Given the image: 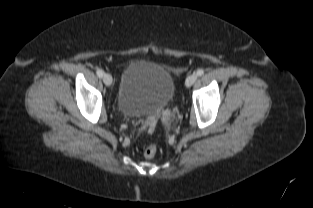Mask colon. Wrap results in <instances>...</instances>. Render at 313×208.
Here are the masks:
<instances>
[{
  "instance_id": "colon-1",
  "label": "colon",
  "mask_w": 313,
  "mask_h": 208,
  "mask_svg": "<svg viewBox=\"0 0 313 208\" xmlns=\"http://www.w3.org/2000/svg\"><path fill=\"white\" fill-rule=\"evenodd\" d=\"M157 149L155 144L148 145L143 151L144 157L147 159L153 158L157 153Z\"/></svg>"
}]
</instances>
